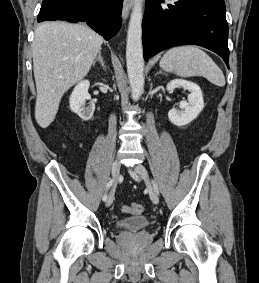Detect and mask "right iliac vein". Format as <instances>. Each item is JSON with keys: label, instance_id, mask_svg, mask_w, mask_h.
<instances>
[{"label": "right iliac vein", "instance_id": "63e3f726", "mask_svg": "<svg viewBox=\"0 0 259 283\" xmlns=\"http://www.w3.org/2000/svg\"><path fill=\"white\" fill-rule=\"evenodd\" d=\"M120 173V162L115 160L112 164V177L116 180ZM114 200V188L111 190L108 199L106 201V206L109 207Z\"/></svg>", "mask_w": 259, "mask_h": 283}]
</instances>
